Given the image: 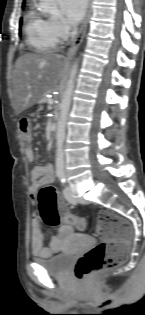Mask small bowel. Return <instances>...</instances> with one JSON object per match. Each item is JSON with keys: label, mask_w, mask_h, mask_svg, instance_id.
Returning a JSON list of instances; mask_svg holds the SVG:
<instances>
[{"label": "small bowel", "mask_w": 145, "mask_h": 315, "mask_svg": "<svg viewBox=\"0 0 145 315\" xmlns=\"http://www.w3.org/2000/svg\"><path fill=\"white\" fill-rule=\"evenodd\" d=\"M25 155L29 161L35 159V153L30 146H26ZM54 169L50 163L37 165L30 172L31 185L29 188L30 198L34 202L38 190L45 184H50L54 181ZM73 232V227L69 224H62L57 233L52 237L49 247L43 244L44 231L40 226L38 216L33 214L31 217V235L30 247L32 253L37 257L47 258L59 252L63 246V239Z\"/></svg>", "instance_id": "small-bowel-1"}]
</instances>
